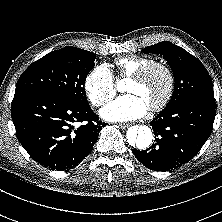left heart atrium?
<instances>
[{
  "instance_id": "1",
  "label": "left heart atrium",
  "mask_w": 222,
  "mask_h": 222,
  "mask_svg": "<svg viewBox=\"0 0 222 222\" xmlns=\"http://www.w3.org/2000/svg\"><path fill=\"white\" fill-rule=\"evenodd\" d=\"M148 109V105L139 95L130 93L108 104L100 113L105 120L127 122L144 117Z\"/></svg>"
}]
</instances>
